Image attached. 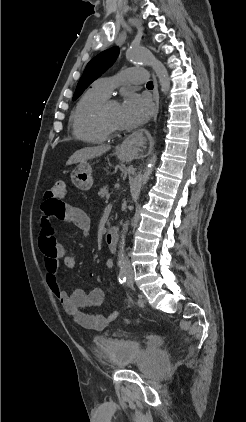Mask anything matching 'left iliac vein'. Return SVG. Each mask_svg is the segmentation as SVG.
<instances>
[{
  "label": "left iliac vein",
  "instance_id": "left-iliac-vein-1",
  "mask_svg": "<svg viewBox=\"0 0 246 422\" xmlns=\"http://www.w3.org/2000/svg\"><path fill=\"white\" fill-rule=\"evenodd\" d=\"M127 286H128V287H133V280H132V278H131V277H129V278H128V281H127Z\"/></svg>",
  "mask_w": 246,
  "mask_h": 422
}]
</instances>
